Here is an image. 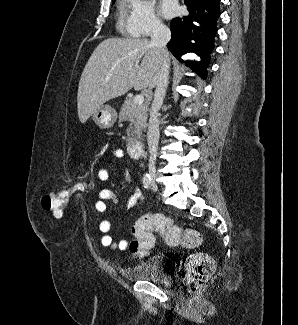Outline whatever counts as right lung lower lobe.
<instances>
[{
	"label": "right lung lower lobe",
	"mask_w": 298,
	"mask_h": 325,
	"mask_svg": "<svg viewBox=\"0 0 298 325\" xmlns=\"http://www.w3.org/2000/svg\"><path fill=\"white\" fill-rule=\"evenodd\" d=\"M185 4L188 6L189 14L171 21V40L167 47L181 62L183 54L196 53L201 57V61L199 64L190 62L189 65L197 69L202 76H206L208 55L214 48V36L217 32L220 0H185ZM192 40L195 42H191Z\"/></svg>",
	"instance_id": "right-lung-lower-lobe-1"
}]
</instances>
